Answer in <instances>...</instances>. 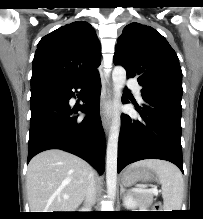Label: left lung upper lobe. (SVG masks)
<instances>
[{
    "instance_id": "5c2ea615",
    "label": "left lung upper lobe",
    "mask_w": 203,
    "mask_h": 219,
    "mask_svg": "<svg viewBox=\"0 0 203 219\" xmlns=\"http://www.w3.org/2000/svg\"><path fill=\"white\" fill-rule=\"evenodd\" d=\"M114 63L127 77H136L142 93L162 92L182 96V71L178 56L154 28L139 23L127 25L119 37Z\"/></svg>"
}]
</instances>
